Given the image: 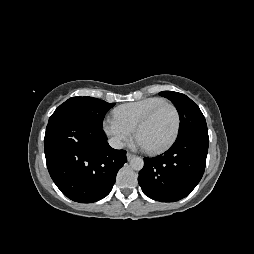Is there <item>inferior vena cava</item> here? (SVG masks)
I'll list each match as a JSON object with an SVG mask.
<instances>
[{
    "label": "inferior vena cava",
    "instance_id": "obj_1",
    "mask_svg": "<svg viewBox=\"0 0 254 254\" xmlns=\"http://www.w3.org/2000/svg\"><path fill=\"white\" fill-rule=\"evenodd\" d=\"M108 143L114 149H122L124 147V143L117 138L109 139Z\"/></svg>",
    "mask_w": 254,
    "mask_h": 254
}]
</instances>
